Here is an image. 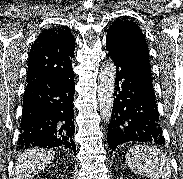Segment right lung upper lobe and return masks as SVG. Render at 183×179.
Returning <instances> with one entry per match:
<instances>
[{
  "label": "right lung upper lobe",
  "mask_w": 183,
  "mask_h": 179,
  "mask_svg": "<svg viewBox=\"0 0 183 179\" xmlns=\"http://www.w3.org/2000/svg\"><path fill=\"white\" fill-rule=\"evenodd\" d=\"M75 40L69 29L44 30L30 50L27 83L39 77L69 78L74 75L71 59Z\"/></svg>",
  "instance_id": "obj_1"
}]
</instances>
